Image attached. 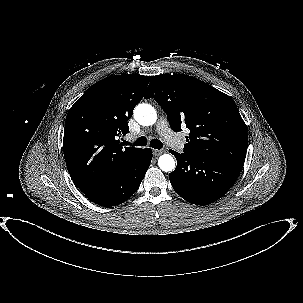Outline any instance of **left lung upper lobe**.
Masks as SVG:
<instances>
[{
	"label": "left lung upper lobe",
	"mask_w": 303,
	"mask_h": 303,
	"mask_svg": "<svg viewBox=\"0 0 303 303\" xmlns=\"http://www.w3.org/2000/svg\"><path fill=\"white\" fill-rule=\"evenodd\" d=\"M145 97L163 108L175 132L190 129L184 153L244 162L247 126L225 93L188 75L163 74L153 78Z\"/></svg>",
	"instance_id": "obj_1"
}]
</instances>
